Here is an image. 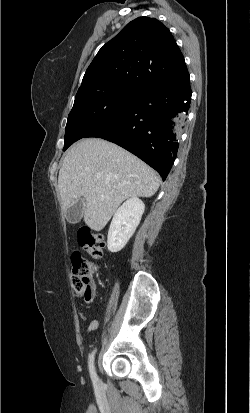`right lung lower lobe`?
I'll use <instances>...</instances> for the list:
<instances>
[{"label":"right lung lower lobe","instance_id":"right-lung-lower-lobe-1","mask_svg":"<svg viewBox=\"0 0 250 413\" xmlns=\"http://www.w3.org/2000/svg\"><path fill=\"white\" fill-rule=\"evenodd\" d=\"M190 80L141 91L113 119L85 137H98L130 151L166 179L177 155L191 100Z\"/></svg>","mask_w":250,"mask_h":413}]
</instances>
